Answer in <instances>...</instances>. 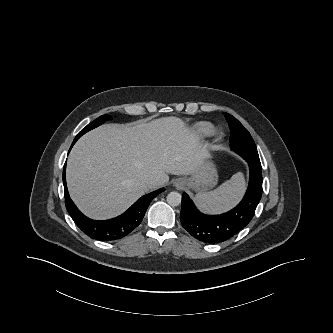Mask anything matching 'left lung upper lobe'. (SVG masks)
<instances>
[{"label":"left lung upper lobe","mask_w":333,"mask_h":333,"mask_svg":"<svg viewBox=\"0 0 333 333\" xmlns=\"http://www.w3.org/2000/svg\"><path fill=\"white\" fill-rule=\"evenodd\" d=\"M226 117L231 136V149L241 155L244 159H253L260 163L256 145L245 127L232 115L223 113Z\"/></svg>","instance_id":"1"}]
</instances>
